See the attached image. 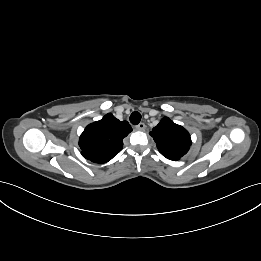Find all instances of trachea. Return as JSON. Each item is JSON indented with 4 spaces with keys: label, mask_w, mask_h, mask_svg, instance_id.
<instances>
[{
    "label": "trachea",
    "mask_w": 261,
    "mask_h": 261,
    "mask_svg": "<svg viewBox=\"0 0 261 261\" xmlns=\"http://www.w3.org/2000/svg\"><path fill=\"white\" fill-rule=\"evenodd\" d=\"M141 121V114L138 111H134L131 115H130V122L133 125H137L139 124V122Z\"/></svg>",
    "instance_id": "obj_1"
}]
</instances>
